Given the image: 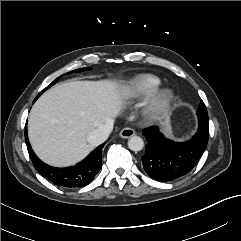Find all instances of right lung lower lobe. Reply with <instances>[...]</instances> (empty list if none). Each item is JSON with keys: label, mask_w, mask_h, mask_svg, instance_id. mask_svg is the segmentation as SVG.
<instances>
[{"label": "right lung lower lobe", "mask_w": 241, "mask_h": 241, "mask_svg": "<svg viewBox=\"0 0 241 241\" xmlns=\"http://www.w3.org/2000/svg\"><path fill=\"white\" fill-rule=\"evenodd\" d=\"M37 99V98H36ZM35 99V100H36ZM34 100V101H35ZM25 142L35 169L54 184L66 188H79L88 185L102 167L101 155L104 144L98 146L83 161L75 166L56 168L43 163L33 152L25 127Z\"/></svg>", "instance_id": "1"}]
</instances>
